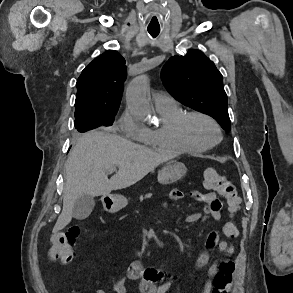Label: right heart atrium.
<instances>
[{"label":"right heart atrium","mask_w":293,"mask_h":293,"mask_svg":"<svg viewBox=\"0 0 293 293\" xmlns=\"http://www.w3.org/2000/svg\"><path fill=\"white\" fill-rule=\"evenodd\" d=\"M120 131L131 138L143 140L146 135V128L142 126L129 109H125L117 122Z\"/></svg>","instance_id":"d8ad5b80"}]
</instances>
